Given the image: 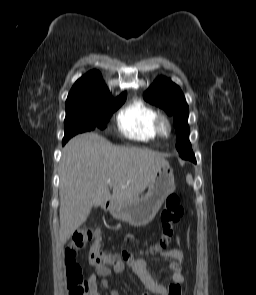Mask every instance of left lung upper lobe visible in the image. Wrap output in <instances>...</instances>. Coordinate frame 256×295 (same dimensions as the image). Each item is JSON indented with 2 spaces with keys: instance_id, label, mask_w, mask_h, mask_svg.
Wrapping results in <instances>:
<instances>
[{
  "instance_id": "obj_1",
  "label": "left lung upper lobe",
  "mask_w": 256,
  "mask_h": 295,
  "mask_svg": "<svg viewBox=\"0 0 256 295\" xmlns=\"http://www.w3.org/2000/svg\"><path fill=\"white\" fill-rule=\"evenodd\" d=\"M144 98L164 109L168 115H173L177 133L176 148L179 155L187 159L186 154L192 151L187 123L189 108L180 87L171 80L160 77L144 93Z\"/></svg>"
}]
</instances>
